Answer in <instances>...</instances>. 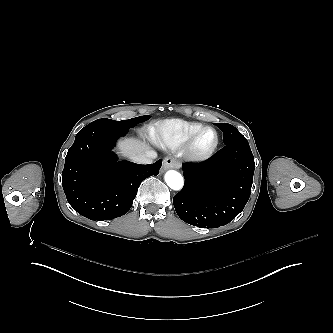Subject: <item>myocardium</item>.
Wrapping results in <instances>:
<instances>
[{
    "label": "myocardium",
    "instance_id": "obj_1",
    "mask_svg": "<svg viewBox=\"0 0 333 333\" xmlns=\"http://www.w3.org/2000/svg\"><path fill=\"white\" fill-rule=\"evenodd\" d=\"M206 129H210L214 132L215 142L212 145V147L209 148L208 150L204 152H197L194 149L195 141L199 136V134ZM218 146H219V134L217 130L212 126H201L200 128L196 129L192 134H190V136L183 144V156L186 160L191 162H196V163L205 162L213 156Z\"/></svg>",
    "mask_w": 333,
    "mask_h": 333
}]
</instances>
